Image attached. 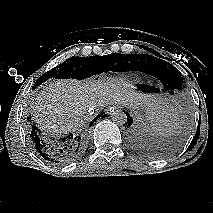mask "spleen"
Masks as SVG:
<instances>
[{
  "instance_id": "obj_1",
  "label": "spleen",
  "mask_w": 213,
  "mask_h": 213,
  "mask_svg": "<svg viewBox=\"0 0 213 213\" xmlns=\"http://www.w3.org/2000/svg\"><path fill=\"white\" fill-rule=\"evenodd\" d=\"M176 114L171 111H160L151 126L161 135L169 134L175 130L177 123L175 122Z\"/></svg>"
}]
</instances>
